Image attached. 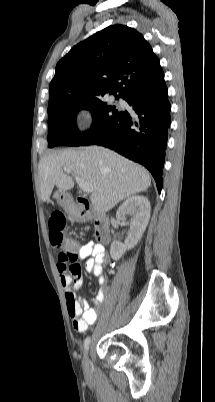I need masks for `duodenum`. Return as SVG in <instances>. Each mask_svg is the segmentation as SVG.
<instances>
[{
  "instance_id": "410a0bca",
  "label": "duodenum",
  "mask_w": 215,
  "mask_h": 402,
  "mask_svg": "<svg viewBox=\"0 0 215 402\" xmlns=\"http://www.w3.org/2000/svg\"><path fill=\"white\" fill-rule=\"evenodd\" d=\"M68 212L76 221L93 220L96 239L102 244L110 242L111 229L109 219L104 215L95 212L85 199L78 198L75 202H71L68 205Z\"/></svg>"
}]
</instances>
